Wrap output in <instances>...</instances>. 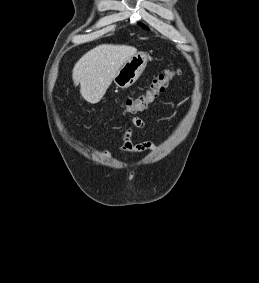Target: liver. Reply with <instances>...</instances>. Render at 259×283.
Listing matches in <instances>:
<instances>
[{
	"label": "liver",
	"mask_w": 259,
	"mask_h": 283,
	"mask_svg": "<svg viewBox=\"0 0 259 283\" xmlns=\"http://www.w3.org/2000/svg\"><path fill=\"white\" fill-rule=\"evenodd\" d=\"M136 53L135 47L112 44L88 51L72 71L74 84H80L81 96L89 103H98L122 65Z\"/></svg>",
	"instance_id": "liver-1"
}]
</instances>
